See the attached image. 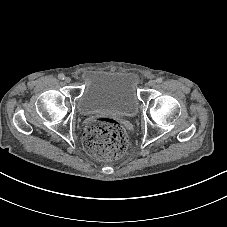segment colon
I'll use <instances>...</instances> for the list:
<instances>
[{
    "label": "colon",
    "mask_w": 227,
    "mask_h": 227,
    "mask_svg": "<svg viewBox=\"0 0 227 227\" xmlns=\"http://www.w3.org/2000/svg\"><path fill=\"white\" fill-rule=\"evenodd\" d=\"M84 144L91 156L112 161L125 152L128 137L125 128L118 121L100 118L88 125L84 134Z\"/></svg>",
    "instance_id": "colon-1"
}]
</instances>
